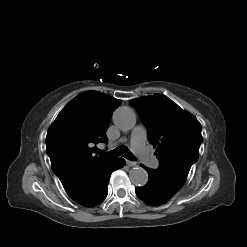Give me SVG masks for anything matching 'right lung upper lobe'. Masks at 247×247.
<instances>
[{
    "label": "right lung upper lobe",
    "mask_w": 247,
    "mask_h": 247,
    "mask_svg": "<svg viewBox=\"0 0 247 247\" xmlns=\"http://www.w3.org/2000/svg\"><path fill=\"white\" fill-rule=\"evenodd\" d=\"M121 101L88 91L70 101L48 129L46 151L64 188L112 159L97 156L94 144L106 142L112 113Z\"/></svg>",
    "instance_id": "1"
}]
</instances>
